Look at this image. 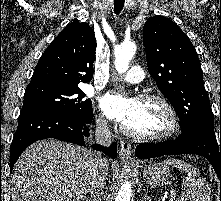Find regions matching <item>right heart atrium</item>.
Instances as JSON below:
<instances>
[{
    "label": "right heart atrium",
    "instance_id": "d8ad5b80",
    "mask_svg": "<svg viewBox=\"0 0 221 201\" xmlns=\"http://www.w3.org/2000/svg\"><path fill=\"white\" fill-rule=\"evenodd\" d=\"M97 125L101 128L106 127L107 121L102 115L97 117Z\"/></svg>",
    "mask_w": 221,
    "mask_h": 201
}]
</instances>
